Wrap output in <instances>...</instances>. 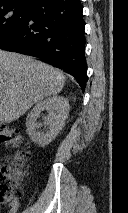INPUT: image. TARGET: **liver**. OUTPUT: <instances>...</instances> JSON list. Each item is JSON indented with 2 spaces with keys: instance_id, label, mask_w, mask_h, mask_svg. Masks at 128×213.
Returning <instances> with one entry per match:
<instances>
[{
  "instance_id": "6515ba94",
  "label": "liver",
  "mask_w": 128,
  "mask_h": 213,
  "mask_svg": "<svg viewBox=\"0 0 128 213\" xmlns=\"http://www.w3.org/2000/svg\"><path fill=\"white\" fill-rule=\"evenodd\" d=\"M65 79V75L51 65L0 50V122H13L34 103L59 93Z\"/></svg>"
}]
</instances>
